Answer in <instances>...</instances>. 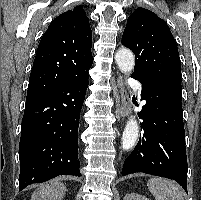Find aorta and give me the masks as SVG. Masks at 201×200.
<instances>
[{
	"mask_svg": "<svg viewBox=\"0 0 201 200\" xmlns=\"http://www.w3.org/2000/svg\"><path fill=\"white\" fill-rule=\"evenodd\" d=\"M115 61L119 69L124 73H130L135 64V57L129 49H120L115 55ZM139 127L134 116L130 117L122 135V148L130 150L136 143Z\"/></svg>",
	"mask_w": 201,
	"mask_h": 200,
	"instance_id": "aorta-1",
	"label": "aorta"
}]
</instances>
